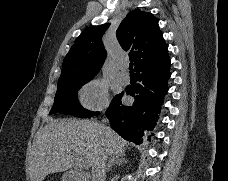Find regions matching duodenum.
<instances>
[{"instance_id": "obj_1", "label": "duodenum", "mask_w": 228, "mask_h": 181, "mask_svg": "<svg viewBox=\"0 0 228 181\" xmlns=\"http://www.w3.org/2000/svg\"><path fill=\"white\" fill-rule=\"evenodd\" d=\"M63 181H83L82 175L78 172H67Z\"/></svg>"}]
</instances>
